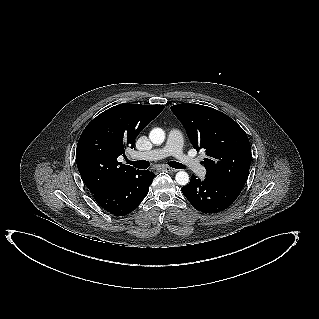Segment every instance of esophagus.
Instances as JSON below:
<instances>
[{"mask_svg": "<svg viewBox=\"0 0 319 319\" xmlns=\"http://www.w3.org/2000/svg\"><path fill=\"white\" fill-rule=\"evenodd\" d=\"M164 170L167 171V172H177V169L171 168L169 166L164 167Z\"/></svg>", "mask_w": 319, "mask_h": 319, "instance_id": "obj_1", "label": "esophagus"}]
</instances>
